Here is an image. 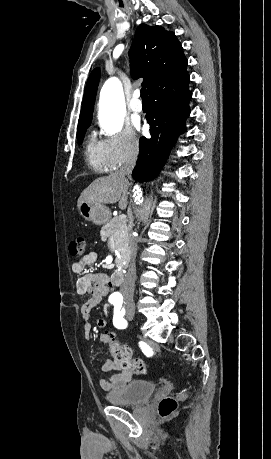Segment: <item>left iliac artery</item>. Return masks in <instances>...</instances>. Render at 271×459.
Masks as SVG:
<instances>
[{
    "instance_id": "1",
    "label": "left iliac artery",
    "mask_w": 271,
    "mask_h": 459,
    "mask_svg": "<svg viewBox=\"0 0 271 459\" xmlns=\"http://www.w3.org/2000/svg\"><path fill=\"white\" fill-rule=\"evenodd\" d=\"M114 317H113V324L118 329H124L127 327V321L123 318L126 313L124 307H119L118 305H114Z\"/></svg>"
}]
</instances>
